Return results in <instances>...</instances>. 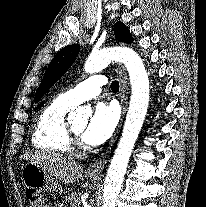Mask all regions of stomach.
<instances>
[{
	"label": "stomach",
	"mask_w": 206,
	"mask_h": 207,
	"mask_svg": "<svg viewBox=\"0 0 206 207\" xmlns=\"http://www.w3.org/2000/svg\"><path fill=\"white\" fill-rule=\"evenodd\" d=\"M21 180L28 188L34 190L54 193L59 189L54 178L32 162L22 166Z\"/></svg>",
	"instance_id": "0dacf381"
}]
</instances>
